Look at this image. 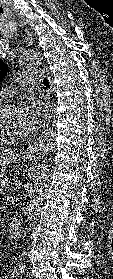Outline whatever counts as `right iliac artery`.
<instances>
[{"instance_id": "82829eb1", "label": "right iliac artery", "mask_w": 113, "mask_h": 279, "mask_svg": "<svg viewBox=\"0 0 113 279\" xmlns=\"http://www.w3.org/2000/svg\"><path fill=\"white\" fill-rule=\"evenodd\" d=\"M19 275V272L16 268L12 269L11 270V276L14 278V277H17Z\"/></svg>"}]
</instances>
